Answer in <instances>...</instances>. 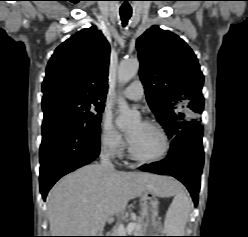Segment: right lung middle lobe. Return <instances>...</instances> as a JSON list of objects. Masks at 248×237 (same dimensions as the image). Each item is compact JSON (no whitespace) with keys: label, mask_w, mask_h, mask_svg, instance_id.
Returning a JSON list of instances; mask_svg holds the SVG:
<instances>
[{"label":"right lung middle lobe","mask_w":248,"mask_h":237,"mask_svg":"<svg viewBox=\"0 0 248 237\" xmlns=\"http://www.w3.org/2000/svg\"><path fill=\"white\" fill-rule=\"evenodd\" d=\"M102 100L61 96L42 102L43 122H63L79 126H100Z\"/></svg>","instance_id":"right-lung-middle-lobe-1"}]
</instances>
